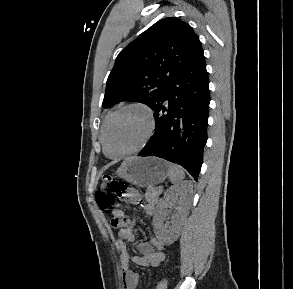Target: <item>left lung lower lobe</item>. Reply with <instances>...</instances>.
I'll return each mask as SVG.
<instances>
[{"mask_svg":"<svg viewBox=\"0 0 293 289\" xmlns=\"http://www.w3.org/2000/svg\"><path fill=\"white\" fill-rule=\"evenodd\" d=\"M209 102L202 51L169 83L152 108L156 129L138 156H157L177 163L197 181L207 141Z\"/></svg>","mask_w":293,"mask_h":289,"instance_id":"left-lung-lower-lobe-1","label":"left lung lower lobe"}]
</instances>
